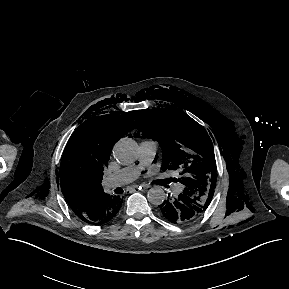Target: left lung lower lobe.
Returning <instances> with one entry per match:
<instances>
[{
	"instance_id": "1",
	"label": "left lung lower lobe",
	"mask_w": 289,
	"mask_h": 289,
	"mask_svg": "<svg viewBox=\"0 0 289 289\" xmlns=\"http://www.w3.org/2000/svg\"><path fill=\"white\" fill-rule=\"evenodd\" d=\"M203 188L193 191L184 189L177 197L169 198L159 205L162 215L172 223L192 222L208 208V199L203 195Z\"/></svg>"
}]
</instances>
